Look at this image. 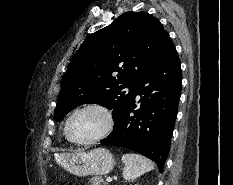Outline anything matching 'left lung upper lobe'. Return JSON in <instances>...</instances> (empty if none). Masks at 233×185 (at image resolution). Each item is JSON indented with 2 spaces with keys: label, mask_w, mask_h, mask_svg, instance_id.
Returning <instances> with one entry per match:
<instances>
[{
  "label": "left lung upper lobe",
  "mask_w": 233,
  "mask_h": 185,
  "mask_svg": "<svg viewBox=\"0 0 233 185\" xmlns=\"http://www.w3.org/2000/svg\"><path fill=\"white\" fill-rule=\"evenodd\" d=\"M169 39L160 21L145 12H126L91 34L64 74L56 120L78 105L98 103L113 109L115 126L134 100L136 83Z\"/></svg>",
  "instance_id": "left-lung-upper-lobe-1"
}]
</instances>
